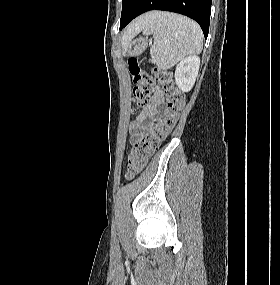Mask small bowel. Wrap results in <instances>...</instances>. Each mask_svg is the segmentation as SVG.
I'll return each mask as SVG.
<instances>
[{"label": "small bowel", "mask_w": 280, "mask_h": 285, "mask_svg": "<svg viewBox=\"0 0 280 285\" xmlns=\"http://www.w3.org/2000/svg\"><path fill=\"white\" fill-rule=\"evenodd\" d=\"M164 103V97L159 88L156 89L151 102L137 115L131 125V141L135 142L152 126L154 118L159 114V108Z\"/></svg>", "instance_id": "small-bowel-1"}]
</instances>
